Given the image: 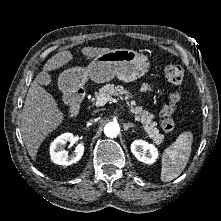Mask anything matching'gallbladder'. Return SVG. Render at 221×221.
Here are the masks:
<instances>
[{
  "instance_id": "1",
  "label": "gallbladder",
  "mask_w": 221,
  "mask_h": 221,
  "mask_svg": "<svg viewBox=\"0 0 221 221\" xmlns=\"http://www.w3.org/2000/svg\"><path fill=\"white\" fill-rule=\"evenodd\" d=\"M38 82L42 85H49L51 83V77L48 73H39Z\"/></svg>"
}]
</instances>
